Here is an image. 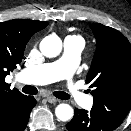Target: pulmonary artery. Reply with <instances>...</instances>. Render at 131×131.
Segmentation results:
<instances>
[{
  "instance_id": "e3ab8cb5",
  "label": "pulmonary artery",
  "mask_w": 131,
  "mask_h": 131,
  "mask_svg": "<svg viewBox=\"0 0 131 131\" xmlns=\"http://www.w3.org/2000/svg\"><path fill=\"white\" fill-rule=\"evenodd\" d=\"M84 44L79 38L67 37L64 40V52L58 60L26 68L21 71L22 82L42 85L55 82L60 79H69L80 61V54ZM65 92L76 103L83 107L92 106V97L85 95L76 83L69 84Z\"/></svg>"
}]
</instances>
